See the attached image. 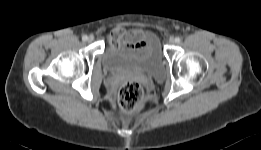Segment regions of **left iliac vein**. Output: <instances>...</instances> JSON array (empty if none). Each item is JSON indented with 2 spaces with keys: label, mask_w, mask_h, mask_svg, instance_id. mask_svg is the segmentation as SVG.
<instances>
[{
  "label": "left iliac vein",
  "mask_w": 261,
  "mask_h": 150,
  "mask_svg": "<svg viewBox=\"0 0 261 150\" xmlns=\"http://www.w3.org/2000/svg\"><path fill=\"white\" fill-rule=\"evenodd\" d=\"M169 43H170V44L175 43V39H174L173 37H171V38L169 39Z\"/></svg>",
  "instance_id": "obj_1"
}]
</instances>
